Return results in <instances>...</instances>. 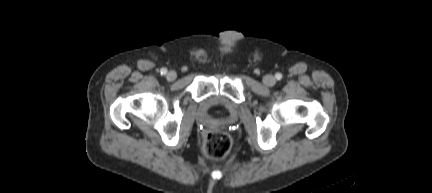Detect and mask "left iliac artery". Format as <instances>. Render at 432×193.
<instances>
[{
  "mask_svg": "<svg viewBox=\"0 0 432 193\" xmlns=\"http://www.w3.org/2000/svg\"><path fill=\"white\" fill-rule=\"evenodd\" d=\"M277 80H281L282 79V74L281 73H276L275 75Z\"/></svg>",
  "mask_w": 432,
  "mask_h": 193,
  "instance_id": "obj_1",
  "label": "left iliac artery"
}]
</instances>
